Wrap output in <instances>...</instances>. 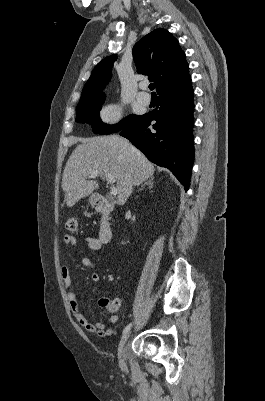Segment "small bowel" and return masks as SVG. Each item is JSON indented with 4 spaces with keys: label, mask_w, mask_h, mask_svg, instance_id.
I'll use <instances>...</instances> for the list:
<instances>
[{
    "label": "small bowel",
    "mask_w": 265,
    "mask_h": 401,
    "mask_svg": "<svg viewBox=\"0 0 265 401\" xmlns=\"http://www.w3.org/2000/svg\"><path fill=\"white\" fill-rule=\"evenodd\" d=\"M84 241H85L86 248L91 251L97 252L98 255L96 256L95 259H90L88 257H82L80 259V262L82 265H84L88 268H93L99 259V252L103 248V243L98 238H95V237H85ZM63 242L67 245L75 246L77 243V239L72 235H65L63 237ZM61 274H62V278H63L65 286L67 288H69L72 284L73 275H74L73 266L69 261H67V260L64 261L62 268H61ZM91 280L95 283H98L101 281V276L98 273H93L91 275ZM67 299H68V302H69V305H70V308L72 310L75 320L79 323V325L82 328H84L86 331H88L90 333L97 334L101 338L109 337L113 334V331L111 329H105L103 323L90 322L88 319H86L84 317V315L81 313V311L78 307V301H77V296H76L75 292L69 291L67 293ZM102 300L103 299L100 300V305H101ZM118 320H119V317L116 315H114L110 318V321L112 323H117Z\"/></svg>",
    "instance_id": "c3829d8e"
}]
</instances>
